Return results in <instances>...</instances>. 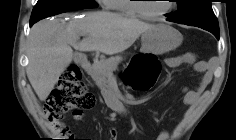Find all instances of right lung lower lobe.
<instances>
[{
	"instance_id": "1",
	"label": "right lung lower lobe",
	"mask_w": 236,
	"mask_h": 140,
	"mask_svg": "<svg viewBox=\"0 0 236 140\" xmlns=\"http://www.w3.org/2000/svg\"><path fill=\"white\" fill-rule=\"evenodd\" d=\"M34 24V22H30V26H32Z\"/></svg>"
}]
</instances>
